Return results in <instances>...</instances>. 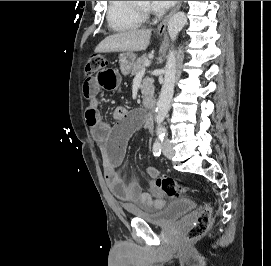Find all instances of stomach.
<instances>
[{"label": "stomach", "mask_w": 271, "mask_h": 266, "mask_svg": "<svg viewBox=\"0 0 271 266\" xmlns=\"http://www.w3.org/2000/svg\"><path fill=\"white\" fill-rule=\"evenodd\" d=\"M136 60V55L132 52H122L119 55L120 70L122 74L127 75Z\"/></svg>", "instance_id": "stomach-1"}]
</instances>
